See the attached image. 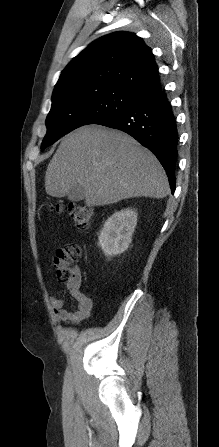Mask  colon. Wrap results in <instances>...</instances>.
Instances as JSON below:
<instances>
[{"instance_id": "colon-1", "label": "colon", "mask_w": 219, "mask_h": 447, "mask_svg": "<svg viewBox=\"0 0 219 447\" xmlns=\"http://www.w3.org/2000/svg\"><path fill=\"white\" fill-rule=\"evenodd\" d=\"M52 211L57 213L67 212L74 225L79 229L88 228L94 216L93 210L90 207L73 203L56 204L52 206ZM80 256L81 248L76 243L66 244L56 251L53 258V266L60 281L72 286L78 284L80 272L74 263Z\"/></svg>"}]
</instances>
